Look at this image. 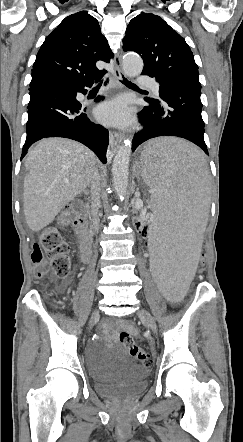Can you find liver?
I'll return each instance as SVG.
<instances>
[{
	"label": "liver",
	"instance_id": "obj_1",
	"mask_svg": "<svg viewBox=\"0 0 243 442\" xmlns=\"http://www.w3.org/2000/svg\"><path fill=\"white\" fill-rule=\"evenodd\" d=\"M96 162L90 149L70 139L47 138L35 145L27 155L24 178V215L33 232L49 225L89 186Z\"/></svg>",
	"mask_w": 243,
	"mask_h": 442
}]
</instances>
